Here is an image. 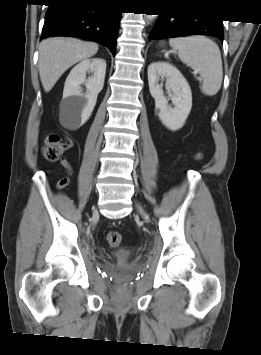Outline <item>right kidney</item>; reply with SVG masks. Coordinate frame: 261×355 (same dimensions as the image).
Listing matches in <instances>:
<instances>
[{
    "instance_id": "1",
    "label": "right kidney",
    "mask_w": 261,
    "mask_h": 355,
    "mask_svg": "<svg viewBox=\"0 0 261 355\" xmlns=\"http://www.w3.org/2000/svg\"><path fill=\"white\" fill-rule=\"evenodd\" d=\"M92 73L88 79L86 73ZM106 61L102 58L85 59L68 75L61 101V117L67 127L79 128L91 116L98 93L103 89ZM86 85V93L81 85Z\"/></svg>"
}]
</instances>
